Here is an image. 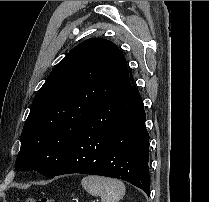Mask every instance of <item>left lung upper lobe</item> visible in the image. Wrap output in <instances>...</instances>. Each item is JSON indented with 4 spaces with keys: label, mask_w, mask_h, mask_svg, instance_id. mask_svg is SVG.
Instances as JSON below:
<instances>
[{
    "label": "left lung upper lobe",
    "mask_w": 209,
    "mask_h": 202,
    "mask_svg": "<svg viewBox=\"0 0 209 202\" xmlns=\"http://www.w3.org/2000/svg\"><path fill=\"white\" fill-rule=\"evenodd\" d=\"M130 87L126 59L111 41L91 38L75 46L37 92L21 134L17 171L51 178L86 119Z\"/></svg>",
    "instance_id": "5c2ea615"
}]
</instances>
